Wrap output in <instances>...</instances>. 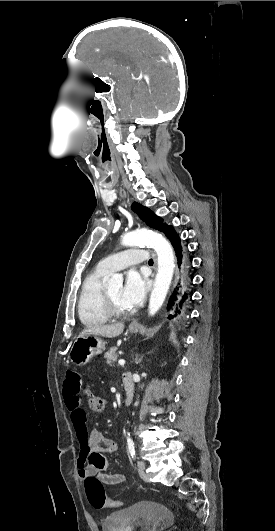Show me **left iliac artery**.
<instances>
[{
    "label": "left iliac artery",
    "mask_w": 275,
    "mask_h": 531,
    "mask_svg": "<svg viewBox=\"0 0 275 531\" xmlns=\"http://www.w3.org/2000/svg\"><path fill=\"white\" fill-rule=\"evenodd\" d=\"M127 445H128V452L130 454V456L135 459L136 457V454H135V445H134V442L129 439L127 440Z\"/></svg>",
    "instance_id": "1"
}]
</instances>
